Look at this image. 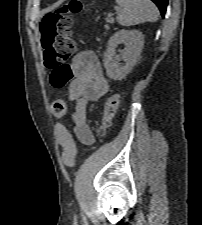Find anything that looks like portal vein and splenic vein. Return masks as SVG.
I'll use <instances>...</instances> for the list:
<instances>
[{"label": "portal vein and splenic vein", "mask_w": 202, "mask_h": 225, "mask_svg": "<svg viewBox=\"0 0 202 225\" xmlns=\"http://www.w3.org/2000/svg\"><path fill=\"white\" fill-rule=\"evenodd\" d=\"M117 11V13H118V9L116 10ZM109 22H114V19L111 17L110 19H109Z\"/></svg>", "instance_id": "18ae733b"}]
</instances>
